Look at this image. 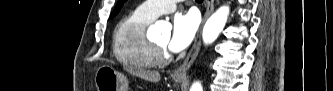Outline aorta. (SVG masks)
<instances>
[{"mask_svg": "<svg viewBox=\"0 0 333 91\" xmlns=\"http://www.w3.org/2000/svg\"><path fill=\"white\" fill-rule=\"evenodd\" d=\"M228 15L229 6H221L207 20L202 32V39L205 44H211L218 38L220 32L223 30L227 22ZM169 27L170 25L166 23L157 22L155 25L150 27V30L154 35H158L160 29ZM190 91H202L201 83L194 82L191 86Z\"/></svg>", "mask_w": 333, "mask_h": 91, "instance_id": "obj_1", "label": "aorta"}]
</instances>
